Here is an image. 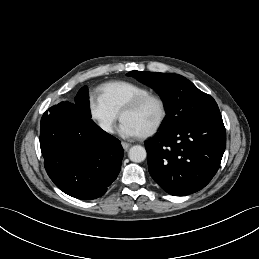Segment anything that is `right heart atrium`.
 <instances>
[{
	"label": "right heart atrium",
	"mask_w": 259,
	"mask_h": 259,
	"mask_svg": "<svg viewBox=\"0 0 259 259\" xmlns=\"http://www.w3.org/2000/svg\"><path fill=\"white\" fill-rule=\"evenodd\" d=\"M88 111L102 133L111 134L113 132L118 115L101 96L89 95Z\"/></svg>",
	"instance_id": "right-heart-atrium-1"
}]
</instances>
